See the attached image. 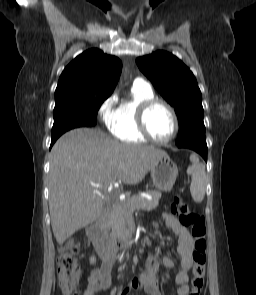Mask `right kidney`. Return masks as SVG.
Returning a JSON list of instances; mask_svg holds the SVG:
<instances>
[{"mask_svg": "<svg viewBox=\"0 0 256 295\" xmlns=\"http://www.w3.org/2000/svg\"><path fill=\"white\" fill-rule=\"evenodd\" d=\"M90 263H95V258L94 257H91V259H90Z\"/></svg>", "mask_w": 256, "mask_h": 295, "instance_id": "ca27d5eb", "label": "right kidney"}]
</instances>
